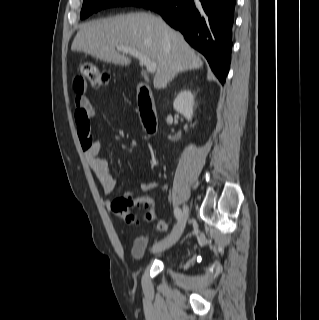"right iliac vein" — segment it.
I'll list each match as a JSON object with an SVG mask.
<instances>
[{"label": "right iliac vein", "instance_id": "right-iliac-vein-1", "mask_svg": "<svg viewBox=\"0 0 319 320\" xmlns=\"http://www.w3.org/2000/svg\"><path fill=\"white\" fill-rule=\"evenodd\" d=\"M187 217H188V207L184 206L183 215L180 222L174 227L172 232L166 238H164L163 240H161L160 242L156 243L153 246L154 252L164 251L170 248L171 246H173L179 240L180 236L183 233Z\"/></svg>", "mask_w": 319, "mask_h": 320}]
</instances>
